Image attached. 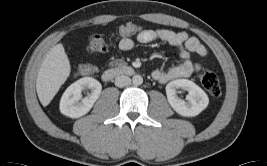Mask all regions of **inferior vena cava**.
<instances>
[{
	"label": "inferior vena cava",
	"mask_w": 267,
	"mask_h": 166,
	"mask_svg": "<svg viewBox=\"0 0 267 166\" xmlns=\"http://www.w3.org/2000/svg\"><path fill=\"white\" fill-rule=\"evenodd\" d=\"M131 83V79L128 76L120 75L115 78V85L117 87H125Z\"/></svg>",
	"instance_id": "602c4592"
}]
</instances>
